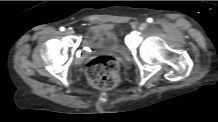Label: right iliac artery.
<instances>
[{
    "instance_id": "obj_1",
    "label": "right iliac artery",
    "mask_w": 218,
    "mask_h": 122,
    "mask_svg": "<svg viewBox=\"0 0 218 122\" xmlns=\"http://www.w3.org/2000/svg\"><path fill=\"white\" fill-rule=\"evenodd\" d=\"M65 30V28L64 27H60V31H64Z\"/></svg>"
}]
</instances>
